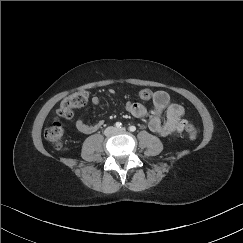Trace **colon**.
<instances>
[{"mask_svg":"<svg viewBox=\"0 0 243 243\" xmlns=\"http://www.w3.org/2000/svg\"><path fill=\"white\" fill-rule=\"evenodd\" d=\"M148 96V93H146ZM89 100V93L82 89L64 98L57 109V118L54 119L50 124L45 127L44 136L45 138L54 144L57 150L63 148L61 142L63 136V127L59 121V118L70 119L73 116V111L76 108L82 107ZM185 131L188 137L192 140L198 136V129L194 124H187Z\"/></svg>","mask_w":243,"mask_h":243,"instance_id":"5ec220e1","label":"colon"}]
</instances>
